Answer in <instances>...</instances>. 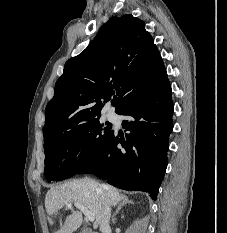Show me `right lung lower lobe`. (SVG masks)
I'll return each instance as SVG.
<instances>
[{"label": "right lung lower lobe", "instance_id": "98d812e1", "mask_svg": "<svg viewBox=\"0 0 227 233\" xmlns=\"http://www.w3.org/2000/svg\"><path fill=\"white\" fill-rule=\"evenodd\" d=\"M171 93L167 79L123 109L119 114L130 117L122 122L129 133L123 136L113 130L98 156L78 173H92L121 189L148 192L156 200L173 129Z\"/></svg>", "mask_w": 227, "mask_h": 233}]
</instances>
